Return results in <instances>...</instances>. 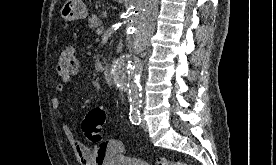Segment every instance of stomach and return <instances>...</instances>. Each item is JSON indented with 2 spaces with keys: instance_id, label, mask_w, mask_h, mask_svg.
<instances>
[{
  "instance_id": "obj_1",
  "label": "stomach",
  "mask_w": 276,
  "mask_h": 165,
  "mask_svg": "<svg viewBox=\"0 0 276 165\" xmlns=\"http://www.w3.org/2000/svg\"><path fill=\"white\" fill-rule=\"evenodd\" d=\"M60 14L65 21H74L86 18L88 11L82 0H67Z\"/></svg>"
}]
</instances>
